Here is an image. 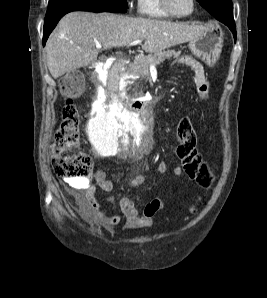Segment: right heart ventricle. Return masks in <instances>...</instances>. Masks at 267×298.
Instances as JSON below:
<instances>
[{
	"instance_id": "right-heart-ventricle-1",
	"label": "right heart ventricle",
	"mask_w": 267,
	"mask_h": 298,
	"mask_svg": "<svg viewBox=\"0 0 267 298\" xmlns=\"http://www.w3.org/2000/svg\"><path fill=\"white\" fill-rule=\"evenodd\" d=\"M138 13L141 17L149 19L169 20L173 18L162 9L159 0H138Z\"/></svg>"
}]
</instances>
